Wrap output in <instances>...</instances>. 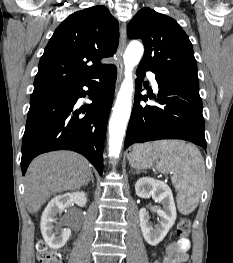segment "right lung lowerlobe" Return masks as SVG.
Listing matches in <instances>:
<instances>
[{
	"instance_id": "obj_1",
	"label": "right lung lower lobe",
	"mask_w": 233,
	"mask_h": 263,
	"mask_svg": "<svg viewBox=\"0 0 233 263\" xmlns=\"http://www.w3.org/2000/svg\"><path fill=\"white\" fill-rule=\"evenodd\" d=\"M116 76V67L108 65L92 79L32 93L22 139L23 175L33 158L54 150H72L84 155L102 175L104 140ZM84 86L92 90L89 98L93 102L79 107L78 99L90 95L83 90Z\"/></svg>"
}]
</instances>
